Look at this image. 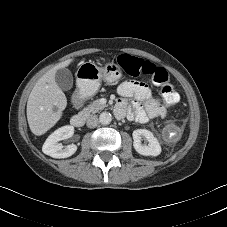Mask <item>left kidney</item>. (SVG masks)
Listing matches in <instances>:
<instances>
[{
	"instance_id": "left-kidney-1",
	"label": "left kidney",
	"mask_w": 227,
	"mask_h": 227,
	"mask_svg": "<svg viewBox=\"0 0 227 227\" xmlns=\"http://www.w3.org/2000/svg\"><path fill=\"white\" fill-rule=\"evenodd\" d=\"M134 149L144 156H158L161 153V146L153 133L146 129H137L133 131ZM142 138L148 141V145L141 143Z\"/></svg>"
}]
</instances>
